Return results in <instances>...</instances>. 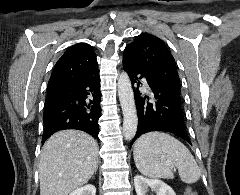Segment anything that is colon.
<instances>
[{
    "label": "colon",
    "mask_w": 240,
    "mask_h": 195,
    "mask_svg": "<svg viewBox=\"0 0 240 195\" xmlns=\"http://www.w3.org/2000/svg\"><path fill=\"white\" fill-rule=\"evenodd\" d=\"M186 190H187V191H190V190H191V187H190V186H187V187H186Z\"/></svg>",
    "instance_id": "colon-1"
}]
</instances>
